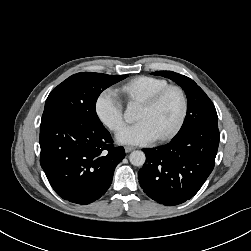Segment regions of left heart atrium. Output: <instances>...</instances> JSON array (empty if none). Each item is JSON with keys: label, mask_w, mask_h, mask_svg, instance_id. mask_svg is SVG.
Segmentation results:
<instances>
[{"label": "left heart atrium", "mask_w": 251, "mask_h": 251, "mask_svg": "<svg viewBox=\"0 0 251 251\" xmlns=\"http://www.w3.org/2000/svg\"><path fill=\"white\" fill-rule=\"evenodd\" d=\"M156 139L157 135L147 120L125 126L117 134L118 142L130 145H145Z\"/></svg>", "instance_id": "39dd6f15"}]
</instances>
